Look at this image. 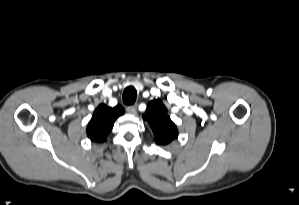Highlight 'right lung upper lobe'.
Segmentation results:
<instances>
[{
    "label": "right lung upper lobe",
    "instance_id": "right-lung-upper-lobe-1",
    "mask_svg": "<svg viewBox=\"0 0 299 205\" xmlns=\"http://www.w3.org/2000/svg\"><path fill=\"white\" fill-rule=\"evenodd\" d=\"M123 113L124 109L119 105L114 108L107 107L104 104L99 105L88 123V137L98 143L104 141L110 133L116 118Z\"/></svg>",
    "mask_w": 299,
    "mask_h": 205
}]
</instances>
